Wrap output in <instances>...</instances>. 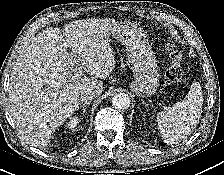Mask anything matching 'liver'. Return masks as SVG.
<instances>
[{"label": "liver", "mask_w": 224, "mask_h": 175, "mask_svg": "<svg viewBox=\"0 0 224 175\" xmlns=\"http://www.w3.org/2000/svg\"><path fill=\"white\" fill-rule=\"evenodd\" d=\"M118 24L113 19H81L67 24L63 34L59 28L37 34L13 66L8 89L10 114L25 141L46 146L55 129L77 110L81 92L102 93L98 79L115 68L109 36ZM82 68L91 77L73 78Z\"/></svg>", "instance_id": "1"}]
</instances>
